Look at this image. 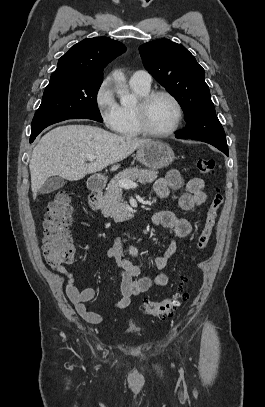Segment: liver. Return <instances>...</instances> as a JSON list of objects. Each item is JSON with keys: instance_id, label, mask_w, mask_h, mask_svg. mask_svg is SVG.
<instances>
[{"instance_id": "obj_1", "label": "liver", "mask_w": 265, "mask_h": 407, "mask_svg": "<svg viewBox=\"0 0 265 407\" xmlns=\"http://www.w3.org/2000/svg\"><path fill=\"white\" fill-rule=\"evenodd\" d=\"M151 141L119 136L90 125L56 127L40 139L31 154L33 198L36 199L38 191L52 176L77 181L109 165L116 170L119 168L116 163ZM90 155L96 159L87 164Z\"/></svg>"}]
</instances>
